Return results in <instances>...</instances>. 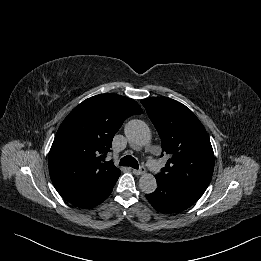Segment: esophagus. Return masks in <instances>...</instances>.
<instances>
[{"instance_id":"1","label":"esophagus","mask_w":261,"mask_h":261,"mask_svg":"<svg viewBox=\"0 0 261 261\" xmlns=\"http://www.w3.org/2000/svg\"><path fill=\"white\" fill-rule=\"evenodd\" d=\"M132 172L134 175L139 176V175H142L145 173V168L143 166H141L140 169H133Z\"/></svg>"}]
</instances>
